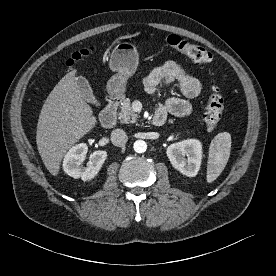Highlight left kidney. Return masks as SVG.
<instances>
[{
    "label": "left kidney",
    "instance_id": "obj_1",
    "mask_svg": "<svg viewBox=\"0 0 276 276\" xmlns=\"http://www.w3.org/2000/svg\"><path fill=\"white\" fill-rule=\"evenodd\" d=\"M166 153L172 166L183 175H197L202 160V144L199 140L187 139L173 143L168 146Z\"/></svg>",
    "mask_w": 276,
    "mask_h": 276
}]
</instances>
